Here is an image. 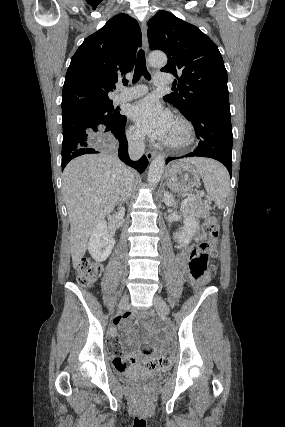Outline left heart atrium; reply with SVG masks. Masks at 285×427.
Instances as JSON below:
<instances>
[{
    "label": "left heart atrium",
    "mask_w": 285,
    "mask_h": 427,
    "mask_svg": "<svg viewBox=\"0 0 285 427\" xmlns=\"http://www.w3.org/2000/svg\"><path fill=\"white\" fill-rule=\"evenodd\" d=\"M130 117L143 133L162 140H167L174 122L171 113L153 97L136 102L130 109Z\"/></svg>",
    "instance_id": "39dd6f15"
}]
</instances>
